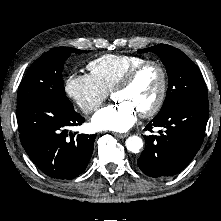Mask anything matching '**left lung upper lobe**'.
Segmentation results:
<instances>
[{
  "label": "left lung upper lobe",
  "instance_id": "left-lung-upper-lobe-1",
  "mask_svg": "<svg viewBox=\"0 0 221 221\" xmlns=\"http://www.w3.org/2000/svg\"><path fill=\"white\" fill-rule=\"evenodd\" d=\"M139 51L157 54L166 66L168 90L157 116L165 114L186 100L207 96V88L200 70L179 49L161 44Z\"/></svg>",
  "mask_w": 221,
  "mask_h": 221
}]
</instances>
